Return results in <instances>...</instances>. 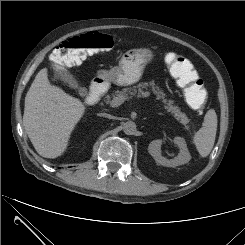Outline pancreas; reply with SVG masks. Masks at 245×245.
<instances>
[{
  "label": "pancreas",
  "mask_w": 245,
  "mask_h": 245,
  "mask_svg": "<svg viewBox=\"0 0 245 245\" xmlns=\"http://www.w3.org/2000/svg\"><path fill=\"white\" fill-rule=\"evenodd\" d=\"M148 87L156 95L157 100H162V103L164 104V109L167 110V112L173 114L176 120H178L184 125L189 122V119L187 118L186 114L181 112L180 108L173 104L174 102L172 100H168L165 98L166 95L164 94L163 90H161L158 86H156L154 81L149 83L142 82L139 83L137 86L124 88L121 91L117 90L114 93H112V98L114 99L115 97L122 96L127 100L134 96L142 95L144 93L143 90L147 89ZM106 102L111 103V98L109 96H107Z\"/></svg>",
  "instance_id": "pancreas-1"
}]
</instances>
